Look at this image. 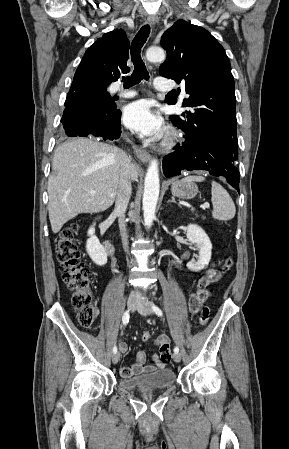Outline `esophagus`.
<instances>
[{
	"mask_svg": "<svg viewBox=\"0 0 289 449\" xmlns=\"http://www.w3.org/2000/svg\"><path fill=\"white\" fill-rule=\"evenodd\" d=\"M157 19L155 15H149L147 17V23L151 26L155 25ZM134 152L137 155L139 159H141L143 162H148L151 159V155L144 149L140 147H134Z\"/></svg>",
	"mask_w": 289,
	"mask_h": 449,
	"instance_id": "1",
	"label": "esophagus"
}]
</instances>
